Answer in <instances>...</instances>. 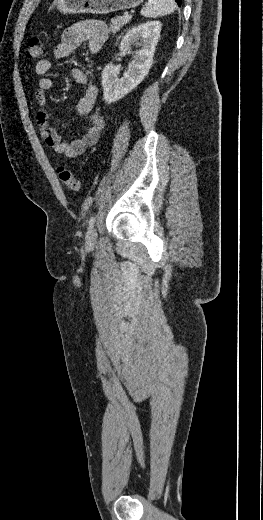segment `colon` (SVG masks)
Returning a JSON list of instances; mask_svg holds the SVG:
<instances>
[{
    "mask_svg": "<svg viewBox=\"0 0 263 520\" xmlns=\"http://www.w3.org/2000/svg\"><path fill=\"white\" fill-rule=\"evenodd\" d=\"M44 55L43 42L38 37H33L29 40L27 57L29 59H39ZM58 177L63 185L71 190L78 191L80 189V182L76 176L65 166H60L57 169Z\"/></svg>",
    "mask_w": 263,
    "mask_h": 520,
    "instance_id": "colon-1",
    "label": "colon"
}]
</instances>
